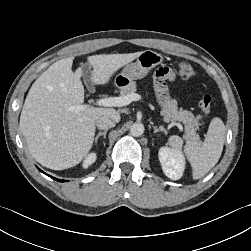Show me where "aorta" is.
<instances>
[{
	"mask_svg": "<svg viewBox=\"0 0 251 251\" xmlns=\"http://www.w3.org/2000/svg\"><path fill=\"white\" fill-rule=\"evenodd\" d=\"M144 133V125L142 123L136 122L130 127V134L132 136L138 137Z\"/></svg>",
	"mask_w": 251,
	"mask_h": 251,
	"instance_id": "obj_1",
	"label": "aorta"
}]
</instances>
